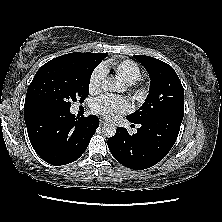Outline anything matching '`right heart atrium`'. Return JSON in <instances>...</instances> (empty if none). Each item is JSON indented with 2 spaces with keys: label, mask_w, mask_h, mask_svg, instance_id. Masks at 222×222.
Listing matches in <instances>:
<instances>
[{
  "label": "right heart atrium",
  "mask_w": 222,
  "mask_h": 222,
  "mask_svg": "<svg viewBox=\"0 0 222 222\" xmlns=\"http://www.w3.org/2000/svg\"><path fill=\"white\" fill-rule=\"evenodd\" d=\"M105 79V69L100 66L97 67L93 73L91 74L90 80H89V90L90 92H97L102 87V84Z\"/></svg>",
  "instance_id": "right-heart-atrium-1"
}]
</instances>
